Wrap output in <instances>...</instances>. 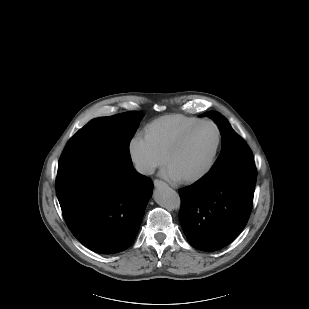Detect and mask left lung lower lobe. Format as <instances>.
<instances>
[{
    "label": "left lung lower lobe",
    "instance_id": "1",
    "mask_svg": "<svg viewBox=\"0 0 309 309\" xmlns=\"http://www.w3.org/2000/svg\"><path fill=\"white\" fill-rule=\"evenodd\" d=\"M256 175L254 158L248 156L179 189V219L193 247L215 251L237 237L250 216Z\"/></svg>",
    "mask_w": 309,
    "mask_h": 309
}]
</instances>
